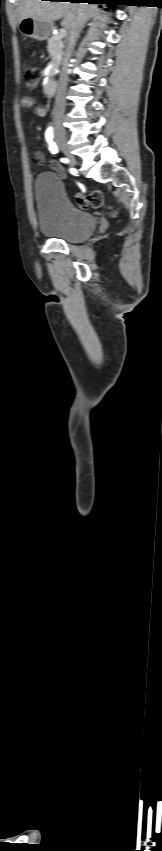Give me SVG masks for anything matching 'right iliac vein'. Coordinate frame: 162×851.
I'll return each mask as SVG.
<instances>
[{"label":"right iliac vein","mask_w":162,"mask_h":851,"mask_svg":"<svg viewBox=\"0 0 162 851\" xmlns=\"http://www.w3.org/2000/svg\"><path fill=\"white\" fill-rule=\"evenodd\" d=\"M58 143H59V146H60L61 150H62V151L65 153V155L67 156L68 161H69V164H70L71 166H76L77 161H76L75 157L71 154L70 149H69L68 145L66 144V142H65L64 140H62V139H61V140H59V142H58Z\"/></svg>","instance_id":"right-iliac-vein-1"}]
</instances>
